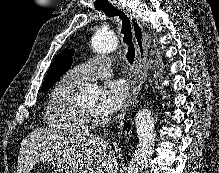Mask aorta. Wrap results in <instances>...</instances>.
<instances>
[{"label": "aorta", "mask_w": 219, "mask_h": 173, "mask_svg": "<svg viewBox=\"0 0 219 173\" xmlns=\"http://www.w3.org/2000/svg\"><path fill=\"white\" fill-rule=\"evenodd\" d=\"M91 45L97 53H109L118 48L119 39L111 30L98 29L91 38ZM95 91L97 88L94 86L90 85L86 88L87 93ZM135 126L139 143L129 163L127 173H144L151 160L155 142L154 121L147 109L138 111Z\"/></svg>", "instance_id": "obj_1"}]
</instances>
